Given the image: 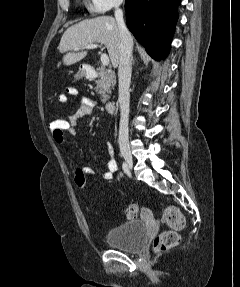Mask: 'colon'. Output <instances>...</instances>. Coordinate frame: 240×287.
<instances>
[{
  "label": "colon",
  "instance_id": "obj_1",
  "mask_svg": "<svg viewBox=\"0 0 240 287\" xmlns=\"http://www.w3.org/2000/svg\"><path fill=\"white\" fill-rule=\"evenodd\" d=\"M49 128L54 138L62 139L69 128L66 118H56L50 121ZM75 183L79 188L86 186V178L84 173L76 170ZM125 216L128 220H134L138 216V207L134 204L129 205L125 210ZM162 217L169 226L168 230L161 232L153 242V250L155 253L166 252L176 247L180 242L178 231L185 225V218L176 206H167L164 208Z\"/></svg>",
  "mask_w": 240,
  "mask_h": 287
}]
</instances>
